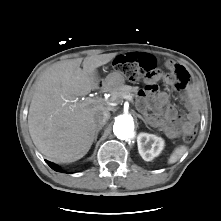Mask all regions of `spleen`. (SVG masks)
I'll return each instance as SVG.
<instances>
[{"mask_svg":"<svg viewBox=\"0 0 221 221\" xmlns=\"http://www.w3.org/2000/svg\"><path fill=\"white\" fill-rule=\"evenodd\" d=\"M187 150L188 148L185 145L176 147L168 159V164L176 163L187 152Z\"/></svg>","mask_w":221,"mask_h":221,"instance_id":"obj_1","label":"spleen"}]
</instances>
